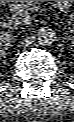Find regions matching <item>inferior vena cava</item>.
Instances as JSON below:
<instances>
[{"label": "inferior vena cava", "mask_w": 74, "mask_h": 122, "mask_svg": "<svg viewBox=\"0 0 74 122\" xmlns=\"http://www.w3.org/2000/svg\"><path fill=\"white\" fill-rule=\"evenodd\" d=\"M32 20V15L24 8L17 10L11 17V22L15 25H29Z\"/></svg>", "instance_id": "obj_1"}]
</instances>
